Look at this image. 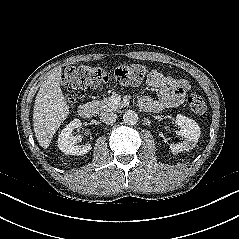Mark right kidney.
<instances>
[{
  "label": "right kidney",
  "instance_id": "ca27d5eb",
  "mask_svg": "<svg viewBox=\"0 0 239 239\" xmlns=\"http://www.w3.org/2000/svg\"><path fill=\"white\" fill-rule=\"evenodd\" d=\"M81 125L82 123L79 119H74L61 131L58 137V147L65 155L81 156L92 149L90 144L77 145L78 138L73 136L72 132Z\"/></svg>",
  "mask_w": 239,
  "mask_h": 239
}]
</instances>
